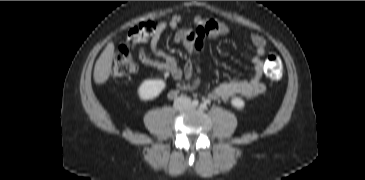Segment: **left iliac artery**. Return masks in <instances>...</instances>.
I'll use <instances>...</instances> for the list:
<instances>
[{"label": "left iliac artery", "mask_w": 365, "mask_h": 180, "mask_svg": "<svg viewBox=\"0 0 365 180\" xmlns=\"http://www.w3.org/2000/svg\"><path fill=\"white\" fill-rule=\"evenodd\" d=\"M207 108V105L205 104V103H202L201 105H200V109L201 110H205Z\"/></svg>", "instance_id": "obj_1"}]
</instances>
